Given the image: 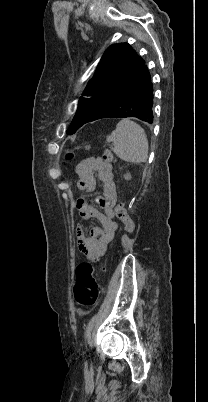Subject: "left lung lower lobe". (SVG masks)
<instances>
[{
  "label": "left lung lower lobe",
  "mask_w": 208,
  "mask_h": 402,
  "mask_svg": "<svg viewBox=\"0 0 208 402\" xmlns=\"http://www.w3.org/2000/svg\"><path fill=\"white\" fill-rule=\"evenodd\" d=\"M127 117H136L146 123H153V85L146 65L123 91L120 98L98 119Z\"/></svg>",
  "instance_id": "0a47b994"
}]
</instances>
